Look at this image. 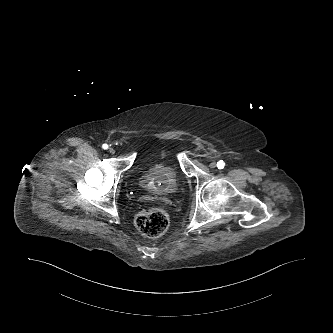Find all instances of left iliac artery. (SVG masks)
Here are the masks:
<instances>
[{
	"label": "left iliac artery",
	"instance_id": "44dca946",
	"mask_svg": "<svg viewBox=\"0 0 333 333\" xmlns=\"http://www.w3.org/2000/svg\"><path fill=\"white\" fill-rule=\"evenodd\" d=\"M225 166V162L223 160H220L217 162L218 169H223Z\"/></svg>",
	"mask_w": 333,
	"mask_h": 333
}]
</instances>
